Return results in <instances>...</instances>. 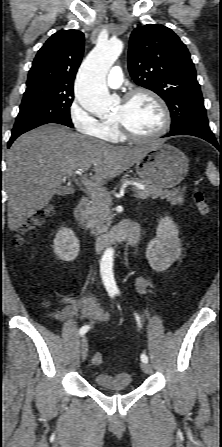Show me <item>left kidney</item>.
<instances>
[{
	"label": "left kidney",
	"instance_id": "1",
	"mask_svg": "<svg viewBox=\"0 0 222 447\" xmlns=\"http://www.w3.org/2000/svg\"><path fill=\"white\" fill-rule=\"evenodd\" d=\"M178 234V228L171 217L160 218L156 237L149 242L146 249V258L156 272L167 270L181 256Z\"/></svg>",
	"mask_w": 222,
	"mask_h": 447
}]
</instances>
